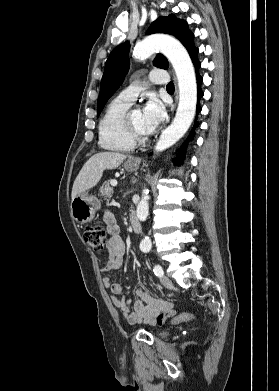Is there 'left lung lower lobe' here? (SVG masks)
Wrapping results in <instances>:
<instances>
[{
    "instance_id": "left-lung-lower-lobe-1",
    "label": "left lung lower lobe",
    "mask_w": 279,
    "mask_h": 391,
    "mask_svg": "<svg viewBox=\"0 0 279 391\" xmlns=\"http://www.w3.org/2000/svg\"><path fill=\"white\" fill-rule=\"evenodd\" d=\"M197 54H198V49L196 48L191 54H190V57L192 59V62L195 66V70H196V78H197V86H198V102H197V114L201 111V107L199 106V99L203 96V92L201 90V83L203 81V78L199 75L198 73V70L201 66V63L199 62L198 58H197ZM198 126V122L195 121V124H194V127L191 131V133L189 134L187 140L183 143V145L181 146L180 150H182L181 154H179L175 160H174V163L176 165H181L183 163V158H184V153H185V149H186V145L188 143V141L192 140L194 138V129Z\"/></svg>"
}]
</instances>
